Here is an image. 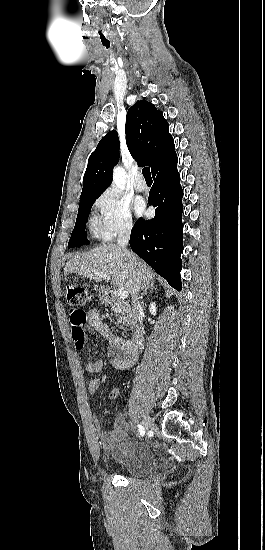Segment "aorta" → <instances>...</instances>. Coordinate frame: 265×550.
<instances>
[{"instance_id": "762f6f07", "label": "aorta", "mask_w": 265, "mask_h": 550, "mask_svg": "<svg viewBox=\"0 0 265 550\" xmlns=\"http://www.w3.org/2000/svg\"><path fill=\"white\" fill-rule=\"evenodd\" d=\"M113 183L117 190H124L126 184V173L121 167H116L114 169Z\"/></svg>"}]
</instances>
